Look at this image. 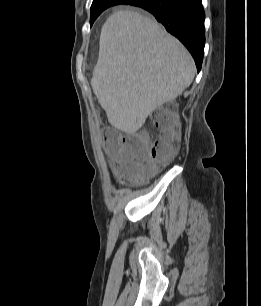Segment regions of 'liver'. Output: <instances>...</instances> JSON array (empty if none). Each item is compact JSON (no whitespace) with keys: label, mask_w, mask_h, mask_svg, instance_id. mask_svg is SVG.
<instances>
[{"label":"liver","mask_w":261,"mask_h":306,"mask_svg":"<svg viewBox=\"0 0 261 306\" xmlns=\"http://www.w3.org/2000/svg\"><path fill=\"white\" fill-rule=\"evenodd\" d=\"M195 63L156 21L118 11L105 21L91 85L109 123L133 134L192 83Z\"/></svg>","instance_id":"liver-1"}]
</instances>
